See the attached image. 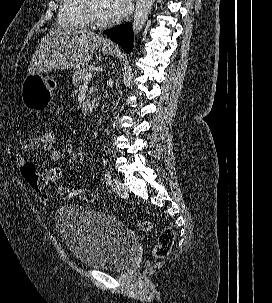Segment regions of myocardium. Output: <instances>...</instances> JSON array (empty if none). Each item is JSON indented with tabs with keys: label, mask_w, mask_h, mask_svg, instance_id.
<instances>
[{
	"label": "myocardium",
	"mask_w": 272,
	"mask_h": 303,
	"mask_svg": "<svg viewBox=\"0 0 272 303\" xmlns=\"http://www.w3.org/2000/svg\"><path fill=\"white\" fill-rule=\"evenodd\" d=\"M84 12L88 23L92 26L103 28L108 25L106 20H102L97 16L93 7V0H85Z\"/></svg>",
	"instance_id": "f54148a6"
}]
</instances>
